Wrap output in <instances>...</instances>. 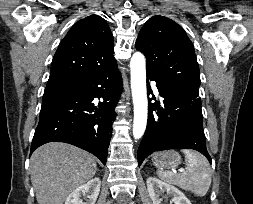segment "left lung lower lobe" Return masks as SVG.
Masks as SVG:
<instances>
[{"mask_svg": "<svg viewBox=\"0 0 253 204\" xmlns=\"http://www.w3.org/2000/svg\"><path fill=\"white\" fill-rule=\"evenodd\" d=\"M149 80L156 81L147 75L148 90L151 89ZM156 86L164 98L163 107H160V102L156 105L149 103L148 123L137 153L139 166L155 151L177 148L197 150L211 163L206 149L199 93L174 89L157 81ZM155 110L158 112L153 113Z\"/></svg>", "mask_w": 253, "mask_h": 204, "instance_id": "obj_1", "label": "left lung lower lobe"}]
</instances>
